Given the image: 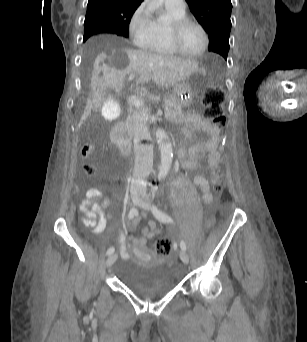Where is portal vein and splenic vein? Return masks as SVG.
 Returning a JSON list of instances; mask_svg holds the SVG:
<instances>
[{
  "instance_id": "obj_1",
  "label": "portal vein and splenic vein",
  "mask_w": 307,
  "mask_h": 342,
  "mask_svg": "<svg viewBox=\"0 0 307 342\" xmlns=\"http://www.w3.org/2000/svg\"><path fill=\"white\" fill-rule=\"evenodd\" d=\"M135 74H130L128 80H134ZM125 84H128V81H125ZM123 88H126V85H123ZM130 105H135L136 109H143L145 104L140 102L139 97L137 94H129L127 96Z\"/></svg>"
}]
</instances>
